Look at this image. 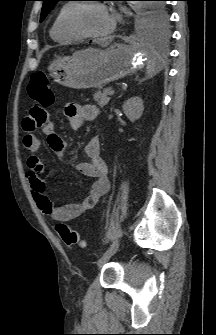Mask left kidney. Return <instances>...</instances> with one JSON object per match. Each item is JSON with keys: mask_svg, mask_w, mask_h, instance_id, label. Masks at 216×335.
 Segmentation results:
<instances>
[{"mask_svg": "<svg viewBox=\"0 0 216 335\" xmlns=\"http://www.w3.org/2000/svg\"><path fill=\"white\" fill-rule=\"evenodd\" d=\"M143 110V101L140 97H132L123 104V111L131 122L139 119L142 116Z\"/></svg>", "mask_w": 216, "mask_h": 335, "instance_id": "obj_1", "label": "left kidney"}]
</instances>
